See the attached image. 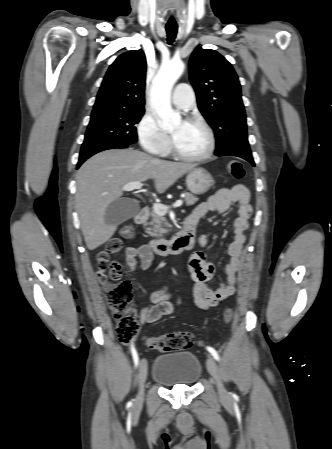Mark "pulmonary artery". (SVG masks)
<instances>
[{"instance_id": "pulmonary-artery-1", "label": "pulmonary artery", "mask_w": 332, "mask_h": 449, "mask_svg": "<svg viewBox=\"0 0 332 449\" xmlns=\"http://www.w3.org/2000/svg\"><path fill=\"white\" fill-rule=\"evenodd\" d=\"M171 100L177 108L181 110H188L195 103V94L189 84L179 83L174 89Z\"/></svg>"}]
</instances>
